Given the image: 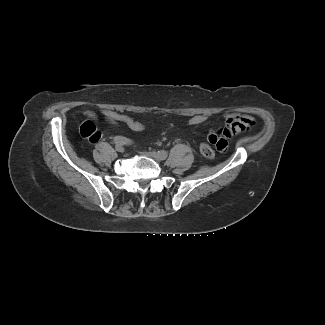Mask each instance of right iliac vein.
I'll return each instance as SVG.
<instances>
[{
  "label": "right iliac vein",
  "instance_id": "right-iliac-vein-1",
  "mask_svg": "<svg viewBox=\"0 0 325 325\" xmlns=\"http://www.w3.org/2000/svg\"><path fill=\"white\" fill-rule=\"evenodd\" d=\"M116 149L118 150V151H123L124 150V148L122 147V146H116Z\"/></svg>",
  "mask_w": 325,
  "mask_h": 325
}]
</instances>
